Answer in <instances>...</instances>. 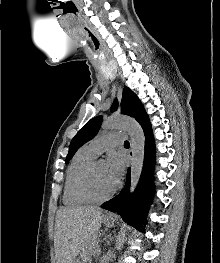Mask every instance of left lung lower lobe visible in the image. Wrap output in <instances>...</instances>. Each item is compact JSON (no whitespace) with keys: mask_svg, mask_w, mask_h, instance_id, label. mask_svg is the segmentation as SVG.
<instances>
[{"mask_svg":"<svg viewBox=\"0 0 220 263\" xmlns=\"http://www.w3.org/2000/svg\"><path fill=\"white\" fill-rule=\"evenodd\" d=\"M145 141V162L142 176L138 187L131 198H129L130 169H128L126 184L123 191L113 199L103 203L102 208L111 212H117L123 220L135 226L137 229L144 231L141 227L142 222H146L147 207L153 197V185L151 183L154 164V139L152 136L151 125L148 124L143 128Z\"/></svg>","mask_w":220,"mask_h":263,"instance_id":"obj_1","label":"left lung lower lobe"}]
</instances>
